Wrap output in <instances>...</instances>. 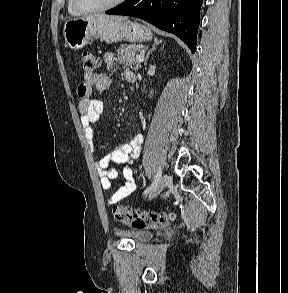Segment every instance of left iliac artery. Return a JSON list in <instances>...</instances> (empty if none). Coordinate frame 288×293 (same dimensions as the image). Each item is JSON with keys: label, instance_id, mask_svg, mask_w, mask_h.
<instances>
[{"label": "left iliac artery", "instance_id": "left-iliac-artery-1", "mask_svg": "<svg viewBox=\"0 0 288 293\" xmlns=\"http://www.w3.org/2000/svg\"><path fill=\"white\" fill-rule=\"evenodd\" d=\"M160 177H161V170L159 168V170L157 171V174H156V176H155L152 184L144 191L143 194H148L149 192H151L155 188V186L157 185V183L159 182Z\"/></svg>", "mask_w": 288, "mask_h": 293}]
</instances>
